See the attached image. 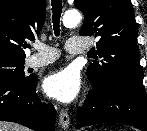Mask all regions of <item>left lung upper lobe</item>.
I'll use <instances>...</instances> for the list:
<instances>
[{
	"mask_svg": "<svg viewBox=\"0 0 147 131\" xmlns=\"http://www.w3.org/2000/svg\"><path fill=\"white\" fill-rule=\"evenodd\" d=\"M74 5L85 16L80 35L99 39L95 53L102 60L93 61L87 68L92 86L127 83L144 88L136 41L138 27L130 0H75Z\"/></svg>",
	"mask_w": 147,
	"mask_h": 131,
	"instance_id": "left-lung-upper-lobe-1",
	"label": "left lung upper lobe"
}]
</instances>
